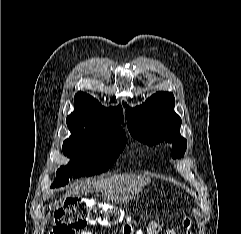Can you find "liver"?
Masks as SVG:
<instances>
[{
	"mask_svg": "<svg viewBox=\"0 0 241 234\" xmlns=\"http://www.w3.org/2000/svg\"><path fill=\"white\" fill-rule=\"evenodd\" d=\"M151 182L144 175L118 174L106 178L86 180L67 191L60 202L67 197L87 196L93 191L101 192L108 201L127 202Z\"/></svg>",
	"mask_w": 241,
	"mask_h": 234,
	"instance_id": "6515ba94",
	"label": "liver"
}]
</instances>
